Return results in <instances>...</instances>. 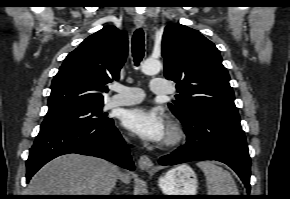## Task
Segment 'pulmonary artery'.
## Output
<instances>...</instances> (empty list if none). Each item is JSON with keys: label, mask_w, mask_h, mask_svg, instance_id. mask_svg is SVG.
Listing matches in <instances>:
<instances>
[{"label": "pulmonary artery", "mask_w": 290, "mask_h": 199, "mask_svg": "<svg viewBox=\"0 0 290 199\" xmlns=\"http://www.w3.org/2000/svg\"><path fill=\"white\" fill-rule=\"evenodd\" d=\"M150 88L155 94H168L172 92V86L163 79H153L150 82ZM115 92L109 101L110 106H127L141 102L145 94L137 87H128L124 85L115 84L112 86Z\"/></svg>", "instance_id": "1"}]
</instances>
